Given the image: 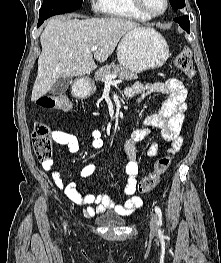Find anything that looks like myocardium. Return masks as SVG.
Wrapping results in <instances>:
<instances>
[{
	"mask_svg": "<svg viewBox=\"0 0 221 263\" xmlns=\"http://www.w3.org/2000/svg\"><path fill=\"white\" fill-rule=\"evenodd\" d=\"M134 1V4L135 6L137 7V9L144 14L145 17L147 18H156V17H159V16H162L163 14L166 13V11L168 10L169 8V0H165V7L162 11L160 12H156V13H153V12H150L144 5V1L143 0H133Z\"/></svg>",
	"mask_w": 221,
	"mask_h": 263,
	"instance_id": "1",
	"label": "myocardium"
}]
</instances>
